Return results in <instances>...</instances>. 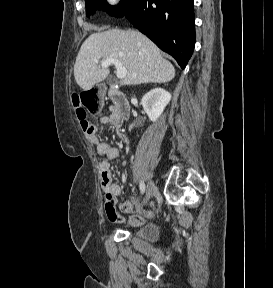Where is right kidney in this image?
<instances>
[{
  "instance_id": "obj_1",
  "label": "right kidney",
  "mask_w": 273,
  "mask_h": 288,
  "mask_svg": "<svg viewBox=\"0 0 273 288\" xmlns=\"http://www.w3.org/2000/svg\"><path fill=\"white\" fill-rule=\"evenodd\" d=\"M170 100L171 94L168 91L163 88H155L143 96L141 104L149 119L155 122L161 116ZM132 127L133 125H130L129 130Z\"/></svg>"
}]
</instances>
